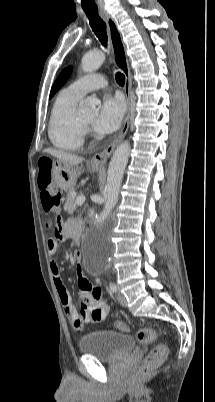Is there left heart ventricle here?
<instances>
[{"label": "left heart ventricle", "mask_w": 215, "mask_h": 402, "mask_svg": "<svg viewBox=\"0 0 215 402\" xmlns=\"http://www.w3.org/2000/svg\"><path fill=\"white\" fill-rule=\"evenodd\" d=\"M81 120L85 123V124H91L92 122H93V120H94V115L93 114H90V115H86V116H83L82 118H81Z\"/></svg>", "instance_id": "1"}]
</instances>
